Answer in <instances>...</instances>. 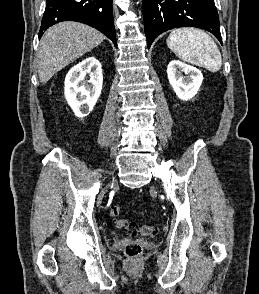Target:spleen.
I'll list each match as a JSON object with an SVG mask.
<instances>
[{"label": "spleen", "mask_w": 259, "mask_h": 294, "mask_svg": "<svg viewBox=\"0 0 259 294\" xmlns=\"http://www.w3.org/2000/svg\"><path fill=\"white\" fill-rule=\"evenodd\" d=\"M166 43L183 61L212 72H217L221 68L222 58L216 43L199 29H175L170 33Z\"/></svg>", "instance_id": "spleen-1"}]
</instances>
